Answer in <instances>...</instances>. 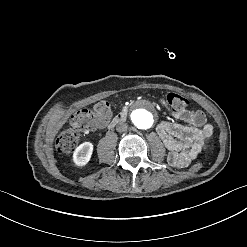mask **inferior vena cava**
I'll use <instances>...</instances> for the list:
<instances>
[{"instance_id":"602c4592","label":"inferior vena cava","mask_w":247,"mask_h":247,"mask_svg":"<svg viewBox=\"0 0 247 247\" xmlns=\"http://www.w3.org/2000/svg\"><path fill=\"white\" fill-rule=\"evenodd\" d=\"M128 125L124 122H120L116 125V130L118 132H125L127 131Z\"/></svg>"}]
</instances>
